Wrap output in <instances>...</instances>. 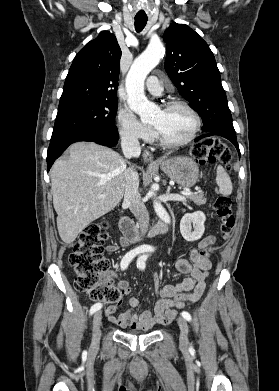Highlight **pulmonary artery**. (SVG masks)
Listing matches in <instances>:
<instances>
[{"instance_id":"e3ab8cb5","label":"pulmonary artery","mask_w":279,"mask_h":391,"mask_svg":"<svg viewBox=\"0 0 279 391\" xmlns=\"http://www.w3.org/2000/svg\"><path fill=\"white\" fill-rule=\"evenodd\" d=\"M146 88L153 95H160L163 91L162 84L157 76H150L148 78Z\"/></svg>"}]
</instances>
